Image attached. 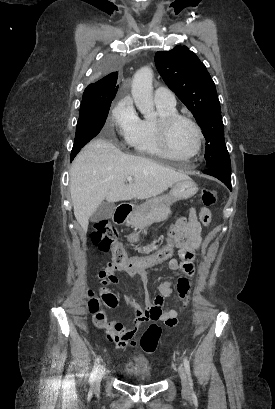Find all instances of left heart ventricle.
<instances>
[{"instance_id":"1","label":"left heart ventricle","mask_w":275,"mask_h":409,"mask_svg":"<svg viewBox=\"0 0 275 409\" xmlns=\"http://www.w3.org/2000/svg\"><path fill=\"white\" fill-rule=\"evenodd\" d=\"M173 151L181 157L191 155L196 147V137L192 127L186 122L177 123L171 134Z\"/></svg>"}]
</instances>
